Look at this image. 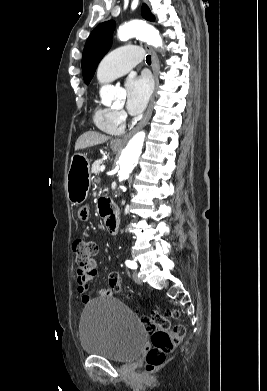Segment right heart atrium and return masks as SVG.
I'll list each match as a JSON object with an SVG mask.
<instances>
[{"label": "right heart atrium", "mask_w": 267, "mask_h": 391, "mask_svg": "<svg viewBox=\"0 0 267 391\" xmlns=\"http://www.w3.org/2000/svg\"><path fill=\"white\" fill-rule=\"evenodd\" d=\"M117 116H118V118L121 120V121H123L124 119H125V113L123 112V111H119V112H117Z\"/></svg>", "instance_id": "1"}]
</instances>
